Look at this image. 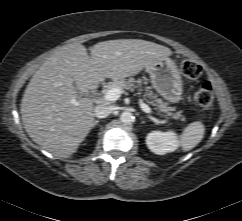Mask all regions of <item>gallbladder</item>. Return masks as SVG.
Segmentation results:
<instances>
[{
	"mask_svg": "<svg viewBox=\"0 0 242 221\" xmlns=\"http://www.w3.org/2000/svg\"><path fill=\"white\" fill-rule=\"evenodd\" d=\"M78 94H80V95H81V94H84V93L78 90Z\"/></svg>",
	"mask_w": 242,
	"mask_h": 221,
	"instance_id": "1",
	"label": "gallbladder"
}]
</instances>
